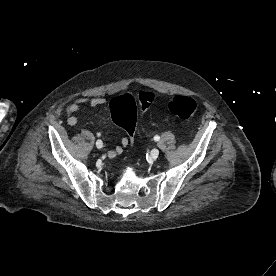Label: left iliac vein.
Wrapping results in <instances>:
<instances>
[{"mask_svg":"<svg viewBox=\"0 0 276 276\" xmlns=\"http://www.w3.org/2000/svg\"><path fill=\"white\" fill-rule=\"evenodd\" d=\"M151 156L156 159L159 156V150L157 148L152 149Z\"/></svg>","mask_w":276,"mask_h":276,"instance_id":"left-iliac-vein-1","label":"left iliac vein"}]
</instances>
